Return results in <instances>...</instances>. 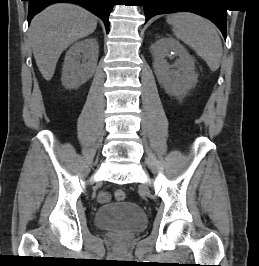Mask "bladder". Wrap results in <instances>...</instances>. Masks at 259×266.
I'll return each mask as SVG.
<instances>
[{
    "instance_id": "1",
    "label": "bladder",
    "mask_w": 259,
    "mask_h": 266,
    "mask_svg": "<svg viewBox=\"0 0 259 266\" xmlns=\"http://www.w3.org/2000/svg\"><path fill=\"white\" fill-rule=\"evenodd\" d=\"M95 224L100 229L137 232L146 227L147 217L136 203H110L97 210Z\"/></svg>"
}]
</instances>
